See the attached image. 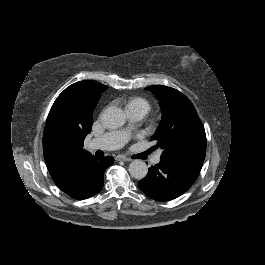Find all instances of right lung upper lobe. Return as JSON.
<instances>
[{"mask_svg":"<svg viewBox=\"0 0 265 265\" xmlns=\"http://www.w3.org/2000/svg\"><path fill=\"white\" fill-rule=\"evenodd\" d=\"M108 87L80 81L67 87L55 100L46 120L43 155L51 178L60 188L68 185L96 159L83 149L92 127V111Z\"/></svg>","mask_w":265,"mask_h":265,"instance_id":"right-lung-upper-lobe-1","label":"right lung upper lobe"}]
</instances>
